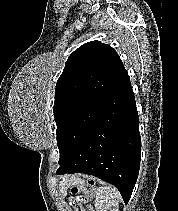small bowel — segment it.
Here are the masks:
<instances>
[{
  "label": "small bowel",
  "instance_id": "1",
  "mask_svg": "<svg viewBox=\"0 0 178 211\" xmlns=\"http://www.w3.org/2000/svg\"><path fill=\"white\" fill-rule=\"evenodd\" d=\"M73 211H87V208H80L77 205H74Z\"/></svg>",
  "mask_w": 178,
  "mask_h": 211
}]
</instances>
